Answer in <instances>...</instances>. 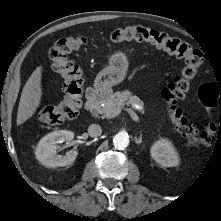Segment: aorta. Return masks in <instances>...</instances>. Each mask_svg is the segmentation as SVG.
<instances>
[{
	"mask_svg": "<svg viewBox=\"0 0 221 221\" xmlns=\"http://www.w3.org/2000/svg\"><path fill=\"white\" fill-rule=\"evenodd\" d=\"M113 144L118 150H124L129 145V136L124 132H120L114 136Z\"/></svg>",
	"mask_w": 221,
	"mask_h": 221,
	"instance_id": "aorta-1",
	"label": "aorta"
}]
</instances>
